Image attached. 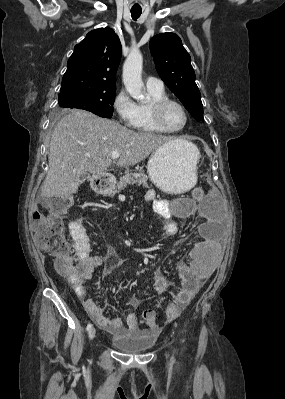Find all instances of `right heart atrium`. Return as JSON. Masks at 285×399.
I'll use <instances>...</instances> for the list:
<instances>
[{
	"label": "right heart atrium",
	"instance_id": "1",
	"mask_svg": "<svg viewBox=\"0 0 285 399\" xmlns=\"http://www.w3.org/2000/svg\"><path fill=\"white\" fill-rule=\"evenodd\" d=\"M113 109L118 119L128 127L137 123V105L125 90H120L113 100Z\"/></svg>",
	"mask_w": 285,
	"mask_h": 399
}]
</instances>
